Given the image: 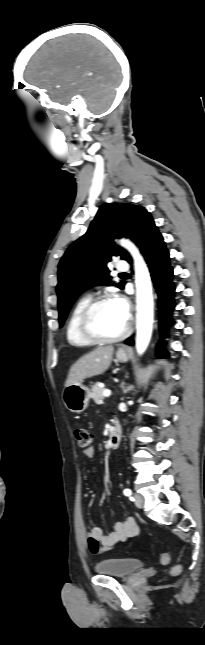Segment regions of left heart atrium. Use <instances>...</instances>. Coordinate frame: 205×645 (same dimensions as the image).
<instances>
[{"mask_svg":"<svg viewBox=\"0 0 205 645\" xmlns=\"http://www.w3.org/2000/svg\"><path fill=\"white\" fill-rule=\"evenodd\" d=\"M112 301L115 304V306L117 307V309L120 311L122 316L125 318V320H128L130 308H129V304H128V301L126 300V298H124L121 295H116V296H114Z\"/></svg>","mask_w":205,"mask_h":645,"instance_id":"left-heart-atrium-1","label":"left heart atrium"}]
</instances>
